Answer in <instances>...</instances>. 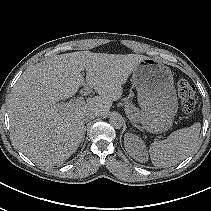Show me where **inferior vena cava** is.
I'll use <instances>...</instances> for the list:
<instances>
[{
	"instance_id": "602c4592",
	"label": "inferior vena cava",
	"mask_w": 211,
	"mask_h": 211,
	"mask_svg": "<svg viewBox=\"0 0 211 211\" xmlns=\"http://www.w3.org/2000/svg\"><path fill=\"white\" fill-rule=\"evenodd\" d=\"M95 114L93 112H87L82 115L84 122H88L95 118Z\"/></svg>"
}]
</instances>
